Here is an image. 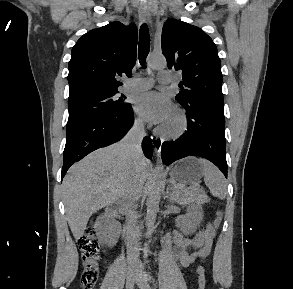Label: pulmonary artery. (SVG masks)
Returning <instances> with one entry per match:
<instances>
[{
	"instance_id": "pulmonary-artery-1",
	"label": "pulmonary artery",
	"mask_w": 293,
	"mask_h": 289,
	"mask_svg": "<svg viewBox=\"0 0 293 289\" xmlns=\"http://www.w3.org/2000/svg\"><path fill=\"white\" fill-rule=\"evenodd\" d=\"M160 83H169L172 80V74L169 71H160L157 77ZM153 78H134L126 83L125 89L128 92L144 91L152 87Z\"/></svg>"
}]
</instances>
